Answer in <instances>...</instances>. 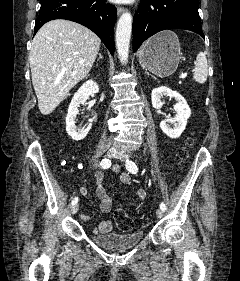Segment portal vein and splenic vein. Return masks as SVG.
Wrapping results in <instances>:
<instances>
[{
    "label": "portal vein and splenic vein",
    "instance_id": "portal-vein-and-splenic-vein-1",
    "mask_svg": "<svg viewBox=\"0 0 240 281\" xmlns=\"http://www.w3.org/2000/svg\"><path fill=\"white\" fill-rule=\"evenodd\" d=\"M186 76H187V73L186 72H182V73H180V78H182V79H184V78H186Z\"/></svg>",
    "mask_w": 240,
    "mask_h": 281
}]
</instances>
